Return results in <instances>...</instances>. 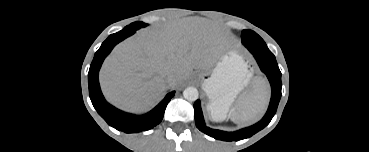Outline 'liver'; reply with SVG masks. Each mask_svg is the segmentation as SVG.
I'll return each mask as SVG.
<instances>
[{
  "instance_id": "6515ba94",
  "label": "liver",
  "mask_w": 369,
  "mask_h": 152,
  "mask_svg": "<svg viewBox=\"0 0 369 152\" xmlns=\"http://www.w3.org/2000/svg\"><path fill=\"white\" fill-rule=\"evenodd\" d=\"M226 43L222 28L207 19H182L144 29L119 44L100 72L102 91L115 106L143 112L164 91L209 65ZM173 75L172 82L167 76Z\"/></svg>"
}]
</instances>
